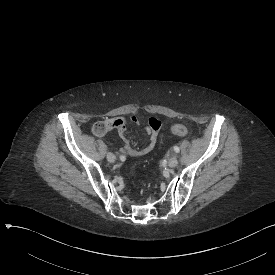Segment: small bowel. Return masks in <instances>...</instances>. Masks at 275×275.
I'll list each match as a JSON object with an SVG mask.
<instances>
[{"label": "small bowel", "instance_id": "small-bowel-1", "mask_svg": "<svg viewBox=\"0 0 275 275\" xmlns=\"http://www.w3.org/2000/svg\"><path fill=\"white\" fill-rule=\"evenodd\" d=\"M135 120V119H134ZM136 121V120H135ZM145 125L148 127L144 128V135L149 137V141L147 143V145L143 148H132L131 147V143L129 142V138L128 137H123L122 138V144H123V148L125 149V151L133 157H140V156H144L146 154H148L149 152H151L157 142V131L161 129V122L155 120L153 117H146L145 118ZM112 124L114 128L119 129V134L120 135H125L126 134V121L123 120L121 117L116 116L113 118L112 120Z\"/></svg>", "mask_w": 275, "mask_h": 275}]
</instances>
